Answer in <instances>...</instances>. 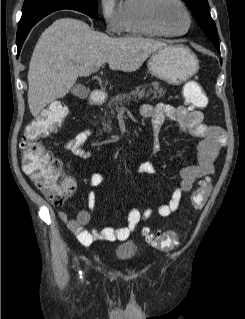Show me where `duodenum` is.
<instances>
[{
  "mask_svg": "<svg viewBox=\"0 0 245 319\" xmlns=\"http://www.w3.org/2000/svg\"><path fill=\"white\" fill-rule=\"evenodd\" d=\"M104 96L101 91L93 90L89 97V104L91 106H98L103 103Z\"/></svg>",
  "mask_w": 245,
  "mask_h": 319,
  "instance_id": "410a0bca",
  "label": "duodenum"
}]
</instances>
